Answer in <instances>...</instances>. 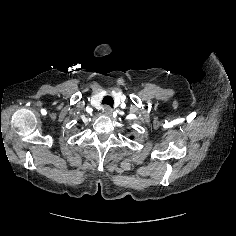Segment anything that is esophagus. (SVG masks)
<instances>
[{
	"instance_id": "1",
	"label": "esophagus",
	"mask_w": 236,
	"mask_h": 236,
	"mask_svg": "<svg viewBox=\"0 0 236 236\" xmlns=\"http://www.w3.org/2000/svg\"><path fill=\"white\" fill-rule=\"evenodd\" d=\"M103 112L105 115H111L112 114V108L110 106H105L103 108Z\"/></svg>"
}]
</instances>
